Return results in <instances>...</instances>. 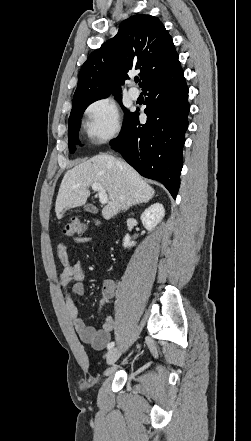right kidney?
Returning <instances> with one entry per match:
<instances>
[{
	"label": "right kidney",
	"instance_id": "ca27d5eb",
	"mask_svg": "<svg viewBox=\"0 0 251 441\" xmlns=\"http://www.w3.org/2000/svg\"><path fill=\"white\" fill-rule=\"evenodd\" d=\"M165 215V209L162 204L155 203L148 207L141 214V221L143 226L148 230L152 231L163 219ZM136 244V242L131 241L130 236L128 234L125 235L123 239V246L125 248L132 247Z\"/></svg>",
	"mask_w": 251,
	"mask_h": 441
}]
</instances>
